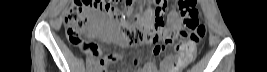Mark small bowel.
Masks as SVG:
<instances>
[{"instance_id":"small-bowel-1","label":"small bowel","mask_w":267,"mask_h":72,"mask_svg":"<svg viewBox=\"0 0 267 72\" xmlns=\"http://www.w3.org/2000/svg\"><path fill=\"white\" fill-rule=\"evenodd\" d=\"M126 9H130L129 6L126 7ZM168 24H169V30L172 32L174 39H177L179 37H182V25H183V19L182 17L176 12L171 11L167 18ZM88 35L90 37H100L102 39L112 40L115 41L117 44L121 46H127L128 42L127 40L120 35H117L115 31L110 29L109 21L108 20H99L95 23V25L88 31ZM88 53V55L92 58L93 66H94V72H102L104 71V66L107 63V59L109 57H102L103 52L94 44L89 43L88 49L84 50ZM142 52L137 51L135 54L133 61H132V68L131 71L133 72H176L175 64L177 58L174 55H168L166 56L159 65V68H157L156 65L153 63H150L148 66L145 67V69L142 70H136V66L140 61Z\"/></svg>"}]
</instances>
